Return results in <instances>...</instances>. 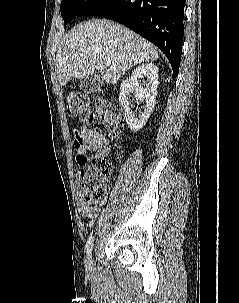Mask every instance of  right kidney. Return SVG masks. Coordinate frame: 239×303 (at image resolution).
I'll return each mask as SVG.
<instances>
[{"label":"right kidney","mask_w":239,"mask_h":303,"mask_svg":"<svg viewBox=\"0 0 239 303\" xmlns=\"http://www.w3.org/2000/svg\"><path fill=\"white\" fill-rule=\"evenodd\" d=\"M147 77L146 87H140L138 79ZM158 89V67L152 63L142 64L137 67L132 76L125 79L120 86L119 101L123 106L125 112L124 117L132 131H138L145 126L150 114L155 106V98ZM131 91L136 94V100L145 101L146 105L142 112L137 117L130 109V101L128 95Z\"/></svg>","instance_id":"ca27d5eb"}]
</instances>
